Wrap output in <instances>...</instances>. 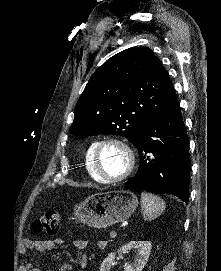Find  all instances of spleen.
<instances>
[{"mask_svg":"<svg viewBox=\"0 0 221 271\" xmlns=\"http://www.w3.org/2000/svg\"><path fill=\"white\" fill-rule=\"evenodd\" d=\"M141 207L143 209V217L147 221L155 219L158 215H161L165 209V201L157 195H152V193H147V191H142L141 193Z\"/></svg>","mask_w":221,"mask_h":271,"instance_id":"obj_1","label":"spleen"}]
</instances>
